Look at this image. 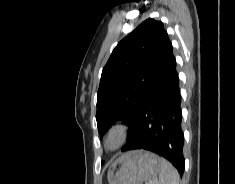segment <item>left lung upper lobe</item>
<instances>
[{
	"mask_svg": "<svg viewBox=\"0 0 235 184\" xmlns=\"http://www.w3.org/2000/svg\"><path fill=\"white\" fill-rule=\"evenodd\" d=\"M167 40L163 23L149 18L115 47L97 92L96 120L101 137L116 120L127 122L128 139L131 137Z\"/></svg>",
	"mask_w": 235,
	"mask_h": 184,
	"instance_id": "left-lung-upper-lobe-1",
	"label": "left lung upper lobe"
}]
</instances>
